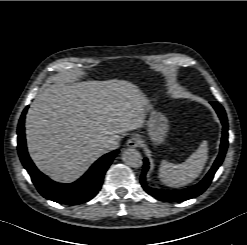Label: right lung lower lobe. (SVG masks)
I'll use <instances>...</instances> for the list:
<instances>
[{"instance_id": "98d812e1", "label": "right lung lower lobe", "mask_w": 247, "mask_h": 245, "mask_svg": "<svg viewBox=\"0 0 247 245\" xmlns=\"http://www.w3.org/2000/svg\"><path fill=\"white\" fill-rule=\"evenodd\" d=\"M24 109L18 125V153L23 166L28 171L39 193L46 199L60 204L77 205L91 200L99 192L105 172L119 150H114L98 159L76 182L61 184L41 173L30 159L25 142Z\"/></svg>"}]
</instances>
